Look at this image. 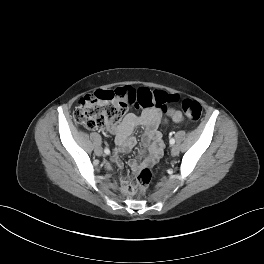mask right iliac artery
<instances>
[{"label": "right iliac artery", "instance_id": "82829eb1", "mask_svg": "<svg viewBox=\"0 0 264 264\" xmlns=\"http://www.w3.org/2000/svg\"><path fill=\"white\" fill-rule=\"evenodd\" d=\"M104 152L108 155V154H110V150L108 149V148H105L104 149Z\"/></svg>", "mask_w": 264, "mask_h": 264}]
</instances>
